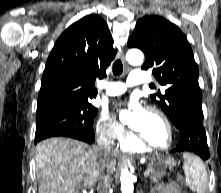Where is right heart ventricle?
I'll list each match as a JSON object with an SVG mask.
<instances>
[{"label": "right heart ventricle", "instance_id": "1", "mask_svg": "<svg viewBox=\"0 0 221 193\" xmlns=\"http://www.w3.org/2000/svg\"><path fill=\"white\" fill-rule=\"evenodd\" d=\"M119 147L123 151H141L143 146L136 139H126L119 144Z\"/></svg>", "mask_w": 221, "mask_h": 193}]
</instances>
